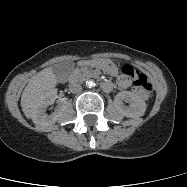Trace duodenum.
Returning <instances> with one entry per match:
<instances>
[{"instance_id":"410a0bca","label":"duodenum","mask_w":187,"mask_h":187,"mask_svg":"<svg viewBox=\"0 0 187 187\" xmlns=\"http://www.w3.org/2000/svg\"><path fill=\"white\" fill-rule=\"evenodd\" d=\"M112 87H113V86H112L111 82H109V81H104V82H102V88H103L105 91L111 90Z\"/></svg>"}]
</instances>
